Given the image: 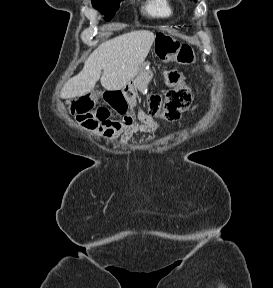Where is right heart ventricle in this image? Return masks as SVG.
Wrapping results in <instances>:
<instances>
[{
	"instance_id": "1",
	"label": "right heart ventricle",
	"mask_w": 273,
	"mask_h": 288,
	"mask_svg": "<svg viewBox=\"0 0 273 288\" xmlns=\"http://www.w3.org/2000/svg\"><path fill=\"white\" fill-rule=\"evenodd\" d=\"M144 12L152 17L166 18L172 15L173 6L169 0H147Z\"/></svg>"
}]
</instances>
